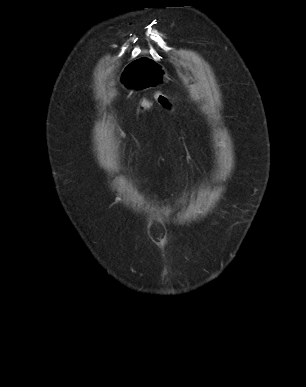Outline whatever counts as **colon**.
I'll return each instance as SVG.
<instances>
[{
    "instance_id": "1",
    "label": "colon",
    "mask_w": 306,
    "mask_h": 387,
    "mask_svg": "<svg viewBox=\"0 0 306 387\" xmlns=\"http://www.w3.org/2000/svg\"><path fill=\"white\" fill-rule=\"evenodd\" d=\"M155 97L157 98V101L164 107H169V102L163 98L159 93H156L155 94ZM151 105V100L150 99H146L143 101L142 105H141V109L143 110H146L150 107Z\"/></svg>"
}]
</instances>
